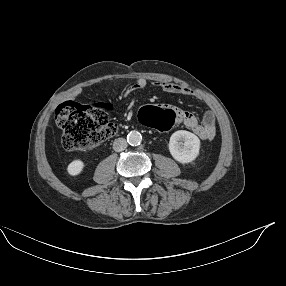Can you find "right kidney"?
<instances>
[{"instance_id":"right-kidney-1","label":"right kidney","mask_w":286,"mask_h":286,"mask_svg":"<svg viewBox=\"0 0 286 286\" xmlns=\"http://www.w3.org/2000/svg\"><path fill=\"white\" fill-rule=\"evenodd\" d=\"M84 168V163L81 160L72 161L67 168V171L70 175L76 176L79 175Z\"/></svg>"}]
</instances>
